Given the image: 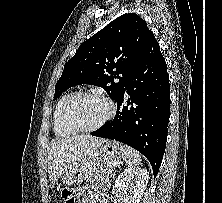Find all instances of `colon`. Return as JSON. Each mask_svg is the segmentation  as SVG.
Here are the masks:
<instances>
[{
  "instance_id": "1",
  "label": "colon",
  "mask_w": 222,
  "mask_h": 203,
  "mask_svg": "<svg viewBox=\"0 0 222 203\" xmlns=\"http://www.w3.org/2000/svg\"><path fill=\"white\" fill-rule=\"evenodd\" d=\"M62 196L65 199V203H74L73 193L70 190H64Z\"/></svg>"
}]
</instances>
